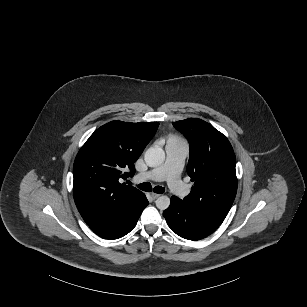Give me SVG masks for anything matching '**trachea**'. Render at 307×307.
<instances>
[{
	"label": "trachea",
	"mask_w": 307,
	"mask_h": 307,
	"mask_svg": "<svg viewBox=\"0 0 307 307\" xmlns=\"http://www.w3.org/2000/svg\"><path fill=\"white\" fill-rule=\"evenodd\" d=\"M138 187L146 192H151L153 190V192L158 193V194H162L165 192V188L161 187V186H155L154 188H152L151 184L149 182H144L138 185Z\"/></svg>",
	"instance_id": "obj_1"
}]
</instances>
